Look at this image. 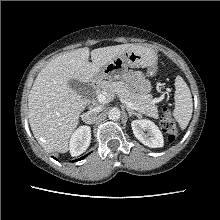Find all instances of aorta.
Returning <instances> with one entry per match:
<instances>
[{
	"instance_id": "762f6f07",
	"label": "aorta",
	"mask_w": 220,
	"mask_h": 220,
	"mask_svg": "<svg viewBox=\"0 0 220 220\" xmlns=\"http://www.w3.org/2000/svg\"><path fill=\"white\" fill-rule=\"evenodd\" d=\"M121 112L118 108L114 107L109 111L108 117L110 120L116 121L120 118Z\"/></svg>"
}]
</instances>
